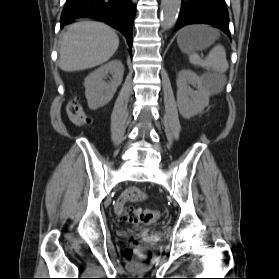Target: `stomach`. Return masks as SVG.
Here are the masks:
<instances>
[{
  "label": "stomach",
  "instance_id": "obj_1",
  "mask_svg": "<svg viewBox=\"0 0 279 279\" xmlns=\"http://www.w3.org/2000/svg\"><path fill=\"white\" fill-rule=\"evenodd\" d=\"M217 36V32L210 27L194 25L182 29L177 42L182 52L191 53L209 47Z\"/></svg>",
  "mask_w": 279,
  "mask_h": 279
}]
</instances>
